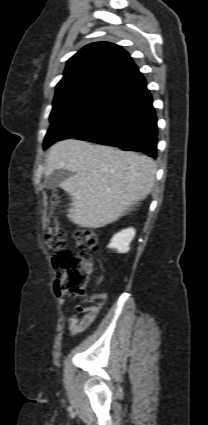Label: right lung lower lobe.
I'll use <instances>...</instances> for the list:
<instances>
[{"mask_svg":"<svg viewBox=\"0 0 208 425\" xmlns=\"http://www.w3.org/2000/svg\"><path fill=\"white\" fill-rule=\"evenodd\" d=\"M147 83L133 65L87 105L50 128L52 144L66 138L139 151L156 158L157 118Z\"/></svg>","mask_w":208,"mask_h":425,"instance_id":"obj_1","label":"right lung lower lobe"}]
</instances>
